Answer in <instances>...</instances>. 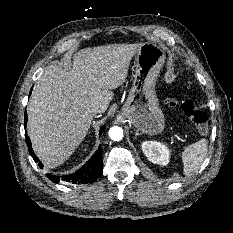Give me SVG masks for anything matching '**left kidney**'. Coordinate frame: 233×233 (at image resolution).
I'll use <instances>...</instances> for the list:
<instances>
[{"mask_svg": "<svg viewBox=\"0 0 233 233\" xmlns=\"http://www.w3.org/2000/svg\"><path fill=\"white\" fill-rule=\"evenodd\" d=\"M145 156L154 164L167 165L169 163L170 151L166 145L156 141H145L142 143Z\"/></svg>", "mask_w": 233, "mask_h": 233, "instance_id": "5707ae66", "label": "left kidney"}]
</instances>
